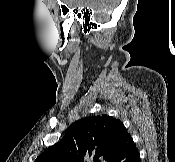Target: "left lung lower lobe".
Masks as SVG:
<instances>
[{
  "label": "left lung lower lobe",
  "mask_w": 175,
  "mask_h": 162,
  "mask_svg": "<svg viewBox=\"0 0 175 162\" xmlns=\"http://www.w3.org/2000/svg\"><path fill=\"white\" fill-rule=\"evenodd\" d=\"M109 162H140L139 152L128 132L123 135Z\"/></svg>",
  "instance_id": "1"
}]
</instances>
